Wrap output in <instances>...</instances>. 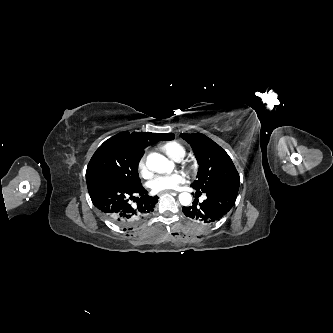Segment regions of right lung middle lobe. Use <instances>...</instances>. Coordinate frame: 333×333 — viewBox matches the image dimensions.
Returning <instances> with one entry per match:
<instances>
[{
    "label": "right lung middle lobe",
    "instance_id": "1",
    "mask_svg": "<svg viewBox=\"0 0 333 333\" xmlns=\"http://www.w3.org/2000/svg\"><path fill=\"white\" fill-rule=\"evenodd\" d=\"M166 137V134H159ZM138 162L129 152L126 144L115 136L106 140L92 156L86 170V178L94 174L107 175L131 185L141 183Z\"/></svg>",
    "mask_w": 333,
    "mask_h": 333
}]
</instances>
